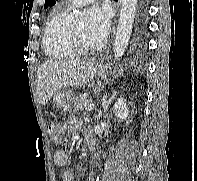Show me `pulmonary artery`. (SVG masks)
Returning a JSON list of instances; mask_svg holds the SVG:
<instances>
[{
	"instance_id": "pulmonary-artery-1",
	"label": "pulmonary artery",
	"mask_w": 197,
	"mask_h": 181,
	"mask_svg": "<svg viewBox=\"0 0 197 181\" xmlns=\"http://www.w3.org/2000/svg\"><path fill=\"white\" fill-rule=\"evenodd\" d=\"M94 0H67L66 5L68 8L80 7L83 5H87Z\"/></svg>"
}]
</instances>
